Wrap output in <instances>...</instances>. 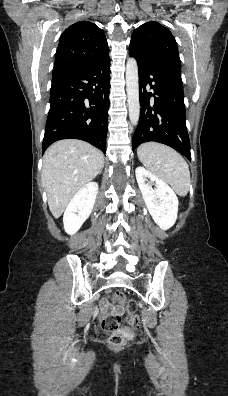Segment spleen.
Wrapping results in <instances>:
<instances>
[{
	"label": "spleen",
	"mask_w": 228,
	"mask_h": 396,
	"mask_svg": "<svg viewBox=\"0 0 228 396\" xmlns=\"http://www.w3.org/2000/svg\"><path fill=\"white\" fill-rule=\"evenodd\" d=\"M141 163L153 174L170 184L179 196H186L190 186V171L183 157L174 149L146 142L137 149Z\"/></svg>",
	"instance_id": "3e777b00"
}]
</instances>
